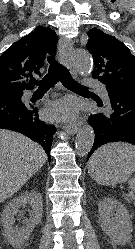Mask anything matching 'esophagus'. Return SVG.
<instances>
[{
  "label": "esophagus",
  "instance_id": "obj_1",
  "mask_svg": "<svg viewBox=\"0 0 135 249\" xmlns=\"http://www.w3.org/2000/svg\"><path fill=\"white\" fill-rule=\"evenodd\" d=\"M59 43H60V59H61V61L67 66L70 73L72 75L76 76L77 72H76V69H75L74 64L72 62V51H71L72 42H71V40L64 38V37H61L59 40ZM79 128H80L79 122L66 124L64 126V130L71 135L77 133Z\"/></svg>",
  "mask_w": 135,
  "mask_h": 249
}]
</instances>
